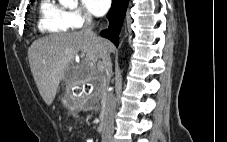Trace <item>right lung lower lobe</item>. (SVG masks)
<instances>
[{"mask_svg":"<svg viewBox=\"0 0 227 142\" xmlns=\"http://www.w3.org/2000/svg\"><path fill=\"white\" fill-rule=\"evenodd\" d=\"M128 1L129 0H113L111 9L107 14L110 23L109 27L101 32V36L108 38L116 46H118V36L128 6Z\"/></svg>","mask_w":227,"mask_h":142,"instance_id":"obj_1","label":"right lung lower lobe"}]
</instances>
